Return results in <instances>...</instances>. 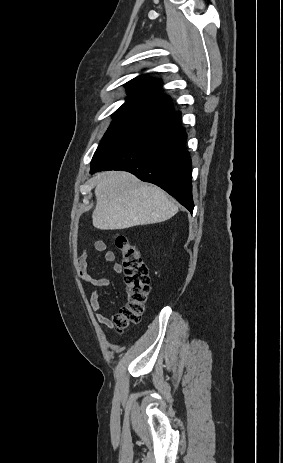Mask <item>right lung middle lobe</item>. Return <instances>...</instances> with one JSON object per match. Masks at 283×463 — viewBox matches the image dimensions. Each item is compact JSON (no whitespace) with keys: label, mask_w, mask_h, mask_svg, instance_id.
<instances>
[{"label":"right lung middle lobe","mask_w":283,"mask_h":463,"mask_svg":"<svg viewBox=\"0 0 283 463\" xmlns=\"http://www.w3.org/2000/svg\"><path fill=\"white\" fill-rule=\"evenodd\" d=\"M160 116L162 114L158 110L127 101L114 113L113 123L105 133L95 154L101 152L121 137L149 124Z\"/></svg>","instance_id":"right-lung-middle-lobe-1"}]
</instances>
